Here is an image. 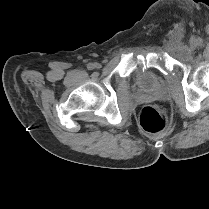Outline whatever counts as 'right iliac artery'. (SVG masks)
Here are the masks:
<instances>
[{
  "instance_id": "right-iliac-artery-1",
  "label": "right iliac artery",
  "mask_w": 209,
  "mask_h": 209,
  "mask_svg": "<svg viewBox=\"0 0 209 209\" xmlns=\"http://www.w3.org/2000/svg\"><path fill=\"white\" fill-rule=\"evenodd\" d=\"M87 68L88 69H94L95 68V65L94 64H92V63H89L88 65H87Z\"/></svg>"
}]
</instances>
